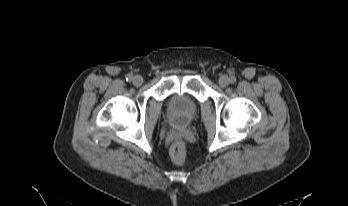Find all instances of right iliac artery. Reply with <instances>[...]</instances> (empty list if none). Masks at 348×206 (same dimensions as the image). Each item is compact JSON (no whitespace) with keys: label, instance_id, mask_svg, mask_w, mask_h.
<instances>
[{"label":"right iliac artery","instance_id":"82829eb1","mask_svg":"<svg viewBox=\"0 0 348 206\" xmlns=\"http://www.w3.org/2000/svg\"><path fill=\"white\" fill-rule=\"evenodd\" d=\"M132 80H133V76L130 75V74H128V75L126 76V81L131 82Z\"/></svg>","mask_w":348,"mask_h":206}]
</instances>
